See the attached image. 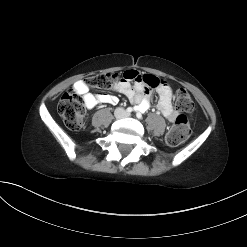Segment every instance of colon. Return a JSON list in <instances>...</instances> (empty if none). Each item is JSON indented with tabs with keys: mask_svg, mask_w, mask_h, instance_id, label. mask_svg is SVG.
Returning <instances> with one entry per match:
<instances>
[{
	"mask_svg": "<svg viewBox=\"0 0 247 247\" xmlns=\"http://www.w3.org/2000/svg\"><path fill=\"white\" fill-rule=\"evenodd\" d=\"M117 73H102L87 79V85L97 89H109L111 82ZM152 87L157 85V80L149 78ZM175 105L181 112H191L194 103L190 94L185 89H179L176 93ZM58 113L65 125L71 130H79L84 123L85 103L78 95L68 92L62 95L58 103ZM191 133L189 122L184 114H180L174 125L166 135V142L171 146L183 143Z\"/></svg>",
	"mask_w": 247,
	"mask_h": 247,
	"instance_id": "obj_1",
	"label": "colon"
}]
</instances>
